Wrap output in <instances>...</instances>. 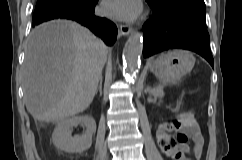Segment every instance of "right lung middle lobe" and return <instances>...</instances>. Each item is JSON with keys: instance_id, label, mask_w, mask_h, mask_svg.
I'll use <instances>...</instances> for the list:
<instances>
[{"instance_id": "right-lung-middle-lobe-1", "label": "right lung middle lobe", "mask_w": 242, "mask_h": 160, "mask_svg": "<svg viewBox=\"0 0 242 160\" xmlns=\"http://www.w3.org/2000/svg\"><path fill=\"white\" fill-rule=\"evenodd\" d=\"M51 1H55V0H37V4H36V7L37 6H40V5H44L48 2H51ZM62 1H67V2H82V1H85V0H62Z\"/></svg>"}]
</instances>
